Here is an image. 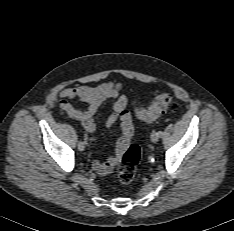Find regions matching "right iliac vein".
I'll return each mask as SVG.
<instances>
[{"mask_svg":"<svg viewBox=\"0 0 234 231\" xmlns=\"http://www.w3.org/2000/svg\"><path fill=\"white\" fill-rule=\"evenodd\" d=\"M78 149H79V151H84L85 150V143L80 141L78 143Z\"/></svg>","mask_w":234,"mask_h":231,"instance_id":"right-iliac-vein-1","label":"right iliac vein"}]
</instances>
